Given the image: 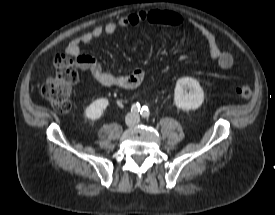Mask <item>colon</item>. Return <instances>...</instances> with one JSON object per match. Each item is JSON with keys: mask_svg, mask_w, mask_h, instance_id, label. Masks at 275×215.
Returning a JSON list of instances; mask_svg holds the SVG:
<instances>
[{"mask_svg": "<svg viewBox=\"0 0 275 215\" xmlns=\"http://www.w3.org/2000/svg\"><path fill=\"white\" fill-rule=\"evenodd\" d=\"M77 80L73 60L66 54H60L55 58L53 73L42 85V95L58 113H66L71 108V91ZM235 94L241 99H248L252 90L248 85L241 84L235 88Z\"/></svg>", "mask_w": 275, "mask_h": 215, "instance_id": "5ec220e1", "label": "colon"}]
</instances>
